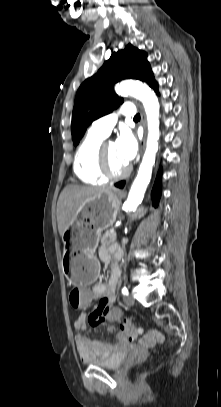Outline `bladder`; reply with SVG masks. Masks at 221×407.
Wrapping results in <instances>:
<instances>
[{"label": "bladder", "instance_id": "obj_1", "mask_svg": "<svg viewBox=\"0 0 221 407\" xmlns=\"http://www.w3.org/2000/svg\"><path fill=\"white\" fill-rule=\"evenodd\" d=\"M125 359V354L115 351L108 357L87 361V364L94 367L116 370L123 365Z\"/></svg>", "mask_w": 221, "mask_h": 407}]
</instances>
